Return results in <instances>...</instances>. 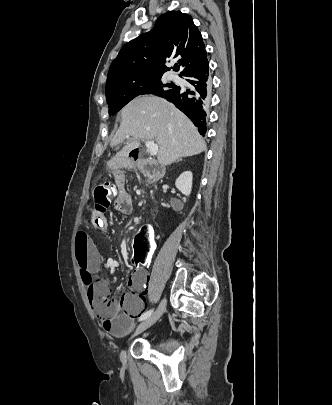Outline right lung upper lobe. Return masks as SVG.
Wrapping results in <instances>:
<instances>
[{
	"label": "right lung upper lobe",
	"mask_w": 332,
	"mask_h": 405,
	"mask_svg": "<svg viewBox=\"0 0 332 405\" xmlns=\"http://www.w3.org/2000/svg\"><path fill=\"white\" fill-rule=\"evenodd\" d=\"M173 58L182 66L180 75L207 59L198 28L181 11L161 15L151 31L122 47L110 66L106 90L128 78L163 75L170 70L165 62Z\"/></svg>",
	"instance_id": "right-lung-upper-lobe-1"
}]
</instances>
